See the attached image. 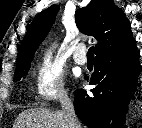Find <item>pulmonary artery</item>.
Here are the masks:
<instances>
[{
	"label": "pulmonary artery",
	"mask_w": 142,
	"mask_h": 128,
	"mask_svg": "<svg viewBox=\"0 0 142 128\" xmlns=\"http://www.w3.org/2000/svg\"><path fill=\"white\" fill-rule=\"evenodd\" d=\"M73 58L75 62L79 65H85L87 63L86 49L83 44H80L76 47Z\"/></svg>",
	"instance_id": "1"
}]
</instances>
